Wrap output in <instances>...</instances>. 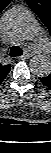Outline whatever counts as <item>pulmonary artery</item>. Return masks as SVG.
I'll return each mask as SVG.
<instances>
[{"mask_svg": "<svg viewBox=\"0 0 51 153\" xmlns=\"http://www.w3.org/2000/svg\"><path fill=\"white\" fill-rule=\"evenodd\" d=\"M38 45L41 47L42 50H49V43L48 41H38Z\"/></svg>", "mask_w": 51, "mask_h": 153, "instance_id": "obj_1", "label": "pulmonary artery"}]
</instances>
